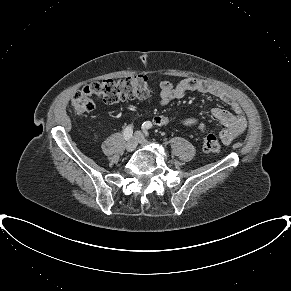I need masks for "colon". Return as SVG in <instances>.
Here are the masks:
<instances>
[{
  "instance_id": "5ec220e1",
  "label": "colon",
  "mask_w": 291,
  "mask_h": 291,
  "mask_svg": "<svg viewBox=\"0 0 291 291\" xmlns=\"http://www.w3.org/2000/svg\"><path fill=\"white\" fill-rule=\"evenodd\" d=\"M153 92L152 78L144 75L103 80L89 84L83 90L75 93L71 100V109L74 113L83 115L94 109V99L113 104L131 99H146ZM170 121L171 117L167 115H158L154 118V122L160 126L166 125ZM198 129L203 132V125H199ZM203 149L206 152H221L222 148L218 137L212 133L204 135Z\"/></svg>"
}]
</instances>
